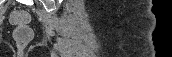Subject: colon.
I'll list each match as a JSON object with an SVG mask.
<instances>
[{"instance_id":"obj_1","label":"colon","mask_w":172,"mask_h":57,"mask_svg":"<svg viewBox=\"0 0 172 57\" xmlns=\"http://www.w3.org/2000/svg\"><path fill=\"white\" fill-rule=\"evenodd\" d=\"M10 22L16 26L14 39L19 48L26 47L33 38V32L27 26L29 15L25 11H14L10 15Z\"/></svg>"}]
</instances>
